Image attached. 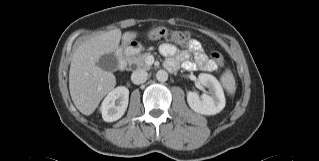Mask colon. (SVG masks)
I'll use <instances>...</instances> for the list:
<instances>
[{
  "label": "colon",
  "mask_w": 319,
  "mask_h": 161,
  "mask_svg": "<svg viewBox=\"0 0 319 161\" xmlns=\"http://www.w3.org/2000/svg\"><path fill=\"white\" fill-rule=\"evenodd\" d=\"M151 37L153 38H160L163 37L171 42L177 43V44H184L187 42L189 38V34L186 31H180V30H165V29H154L151 32ZM211 66L213 68L222 67L224 62L223 58L220 53L217 51L211 52Z\"/></svg>",
  "instance_id": "obj_1"
}]
</instances>
